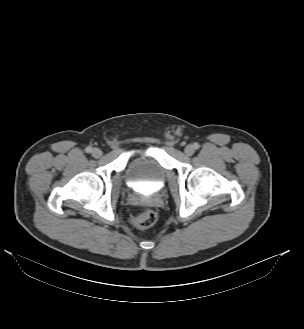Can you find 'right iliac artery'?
I'll use <instances>...</instances> for the list:
<instances>
[{
	"label": "right iliac artery",
	"mask_w": 304,
	"mask_h": 329,
	"mask_svg": "<svg viewBox=\"0 0 304 329\" xmlns=\"http://www.w3.org/2000/svg\"><path fill=\"white\" fill-rule=\"evenodd\" d=\"M85 151H86L87 153H91V152H92V148H91V147H87V148L85 149Z\"/></svg>",
	"instance_id": "1"
}]
</instances>
